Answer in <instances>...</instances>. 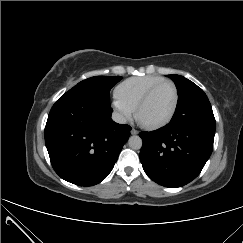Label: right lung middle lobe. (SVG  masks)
<instances>
[{"label":"right lung middle lobe","mask_w":243,"mask_h":243,"mask_svg":"<svg viewBox=\"0 0 243 243\" xmlns=\"http://www.w3.org/2000/svg\"><path fill=\"white\" fill-rule=\"evenodd\" d=\"M121 76H95L83 80L68 92L87 93L96 98L108 102L110 89L121 80Z\"/></svg>","instance_id":"dd1d6c3e"}]
</instances>
